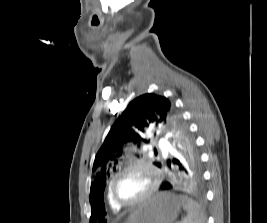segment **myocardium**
<instances>
[{
    "label": "myocardium",
    "mask_w": 267,
    "mask_h": 223,
    "mask_svg": "<svg viewBox=\"0 0 267 223\" xmlns=\"http://www.w3.org/2000/svg\"><path fill=\"white\" fill-rule=\"evenodd\" d=\"M132 168H140V169L146 170L152 177V183L150 187L148 188V190L136 200H133L130 202L121 201L120 199L117 198L115 191H114L115 182L120 175H122L127 170L132 169ZM160 182H161V172L155 165H153L151 162L146 161V160L134 159V160H130L125 166L120 168L111 177L108 190H109L111 199L118 207L133 208L149 200L157 192Z\"/></svg>",
    "instance_id": "f54148a6"
}]
</instances>
